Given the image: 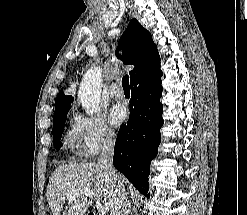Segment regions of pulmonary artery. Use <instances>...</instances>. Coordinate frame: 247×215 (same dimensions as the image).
Returning <instances> with one entry per match:
<instances>
[{"instance_id":"obj_1","label":"pulmonary artery","mask_w":247,"mask_h":215,"mask_svg":"<svg viewBox=\"0 0 247 215\" xmlns=\"http://www.w3.org/2000/svg\"><path fill=\"white\" fill-rule=\"evenodd\" d=\"M109 94L112 98L121 99L124 97V92L118 84H113L109 89Z\"/></svg>"}]
</instances>
